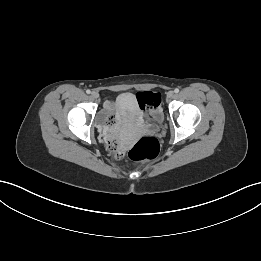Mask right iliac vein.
<instances>
[{"mask_svg":"<svg viewBox=\"0 0 261 261\" xmlns=\"http://www.w3.org/2000/svg\"><path fill=\"white\" fill-rule=\"evenodd\" d=\"M91 96H92L94 99H97V98L99 97V93L96 92V91H93V92L91 93Z\"/></svg>","mask_w":261,"mask_h":261,"instance_id":"63e3f726","label":"right iliac vein"}]
</instances>
